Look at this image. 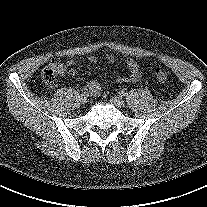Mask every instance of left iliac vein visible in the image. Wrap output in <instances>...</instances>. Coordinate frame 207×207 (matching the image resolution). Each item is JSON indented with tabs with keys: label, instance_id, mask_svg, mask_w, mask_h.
Masks as SVG:
<instances>
[{
	"label": "left iliac vein",
	"instance_id": "left-iliac-vein-1",
	"mask_svg": "<svg viewBox=\"0 0 207 207\" xmlns=\"http://www.w3.org/2000/svg\"><path fill=\"white\" fill-rule=\"evenodd\" d=\"M110 102L118 108L125 106V101L120 97H112Z\"/></svg>",
	"mask_w": 207,
	"mask_h": 207
}]
</instances>
